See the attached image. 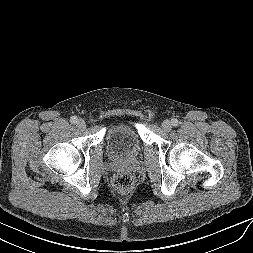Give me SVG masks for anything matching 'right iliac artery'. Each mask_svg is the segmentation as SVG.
<instances>
[{
	"label": "right iliac artery",
	"mask_w": 253,
	"mask_h": 253,
	"mask_svg": "<svg viewBox=\"0 0 253 253\" xmlns=\"http://www.w3.org/2000/svg\"><path fill=\"white\" fill-rule=\"evenodd\" d=\"M77 120H78V118H77L76 116H72V117L70 118V122H71L72 124L77 123Z\"/></svg>",
	"instance_id": "right-iliac-artery-1"
}]
</instances>
